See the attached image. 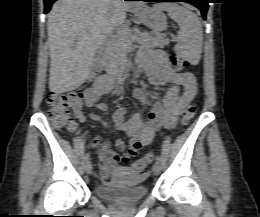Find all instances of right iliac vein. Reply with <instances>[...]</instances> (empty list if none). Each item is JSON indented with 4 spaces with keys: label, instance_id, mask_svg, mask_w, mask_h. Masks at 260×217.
Instances as JSON below:
<instances>
[{
    "label": "right iliac vein",
    "instance_id": "1",
    "mask_svg": "<svg viewBox=\"0 0 260 217\" xmlns=\"http://www.w3.org/2000/svg\"><path fill=\"white\" fill-rule=\"evenodd\" d=\"M85 171L87 174H91L92 173V164L90 161L86 162L85 164Z\"/></svg>",
    "mask_w": 260,
    "mask_h": 217
}]
</instances>
